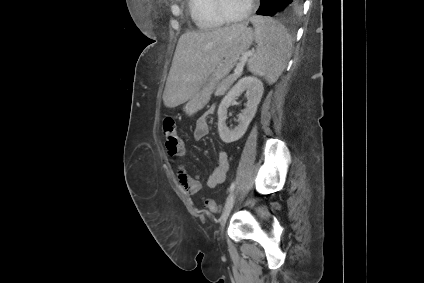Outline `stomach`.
I'll return each mask as SVG.
<instances>
[{"instance_id": "stomach-1", "label": "stomach", "mask_w": 424, "mask_h": 283, "mask_svg": "<svg viewBox=\"0 0 424 283\" xmlns=\"http://www.w3.org/2000/svg\"><path fill=\"white\" fill-rule=\"evenodd\" d=\"M255 37L252 28H246L238 35L227 48L225 54L200 89L184 105L183 110L187 115H193L201 110L210 100L218 83L225 78L235 67L240 56L245 54Z\"/></svg>"}]
</instances>
